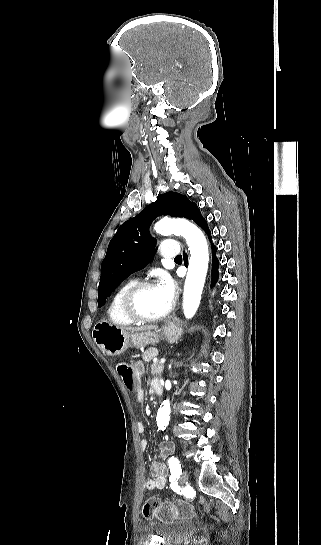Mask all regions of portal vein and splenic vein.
Returning <instances> with one entry per match:
<instances>
[{
    "instance_id": "18ae733b",
    "label": "portal vein and splenic vein",
    "mask_w": 321,
    "mask_h": 545,
    "mask_svg": "<svg viewBox=\"0 0 321 545\" xmlns=\"http://www.w3.org/2000/svg\"><path fill=\"white\" fill-rule=\"evenodd\" d=\"M164 360H166V357H162V359L160 361V364H166V361H164Z\"/></svg>"
}]
</instances>
